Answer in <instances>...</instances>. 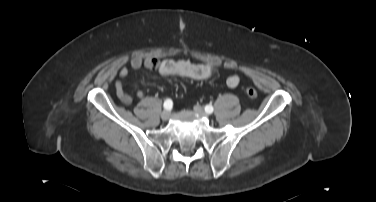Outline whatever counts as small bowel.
<instances>
[{
	"mask_svg": "<svg viewBox=\"0 0 376 202\" xmlns=\"http://www.w3.org/2000/svg\"><path fill=\"white\" fill-rule=\"evenodd\" d=\"M130 66L133 69H139L145 67L150 70L156 71L163 77H178L189 78L193 80H205L214 76L216 73V65L214 64H201L193 63L188 60H174L165 59L159 60L157 58H141L134 57L131 59ZM129 69L122 67L118 75L120 78H126L129 75ZM102 76V75H101ZM227 86L234 88L239 84V77L236 75L229 76L226 80ZM114 90L116 97L126 105H129L132 101L131 96L125 91L121 81H116L114 84ZM144 96L142 90L136 92V97L141 99Z\"/></svg>",
	"mask_w": 376,
	"mask_h": 202,
	"instance_id": "1",
	"label": "small bowel"
}]
</instances>
